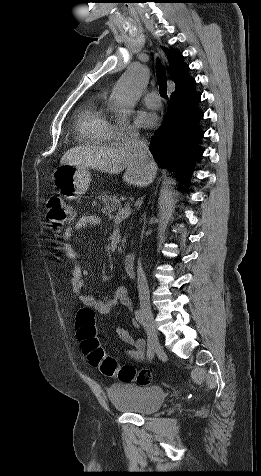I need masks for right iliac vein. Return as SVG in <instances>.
I'll return each instance as SVG.
<instances>
[{"label": "right iliac vein", "instance_id": "right-iliac-vein-1", "mask_svg": "<svg viewBox=\"0 0 261 476\" xmlns=\"http://www.w3.org/2000/svg\"><path fill=\"white\" fill-rule=\"evenodd\" d=\"M143 312L145 314V319H146V324H147L148 330H150L152 336L154 337V342L156 344L154 348H155L156 352H161L162 347H161L160 342H159L158 331L156 329L153 314H152L151 310L148 309V308H144Z\"/></svg>", "mask_w": 261, "mask_h": 476}]
</instances>
